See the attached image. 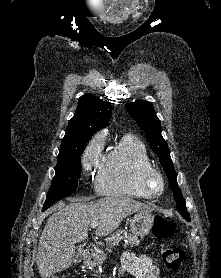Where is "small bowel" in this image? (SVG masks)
<instances>
[{
	"label": "small bowel",
	"mask_w": 221,
	"mask_h": 278,
	"mask_svg": "<svg viewBox=\"0 0 221 278\" xmlns=\"http://www.w3.org/2000/svg\"><path fill=\"white\" fill-rule=\"evenodd\" d=\"M156 267L152 259L147 255H136L128 251L122 258V267L119 270V276L125 278L131 276L133 278H156Z\"/></svg>",
	"instance_id": "c3829d8e"
}]
</instances>
